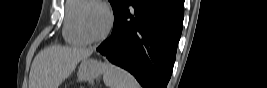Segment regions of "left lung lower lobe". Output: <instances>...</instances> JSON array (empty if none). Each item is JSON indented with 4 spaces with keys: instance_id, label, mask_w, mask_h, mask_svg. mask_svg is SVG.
<instances>
[{
    "instance_id": "left-lung-lower-lobe-1",
    "label": "left lung lower lobe",
    "mask_w": 267,
    "mask_h": 88,
    "mask_svg": "<svg viewBox=\"0 0 267 88\" xmlns=\"http://www.w3.org/2000/svg\"><path fill=\"white\" fill-rule=\"evenodd\" d=\"M180 0H127L111 36L97 48L144 88H166L182 32Z\"/></svg>"
}]
</instances>
